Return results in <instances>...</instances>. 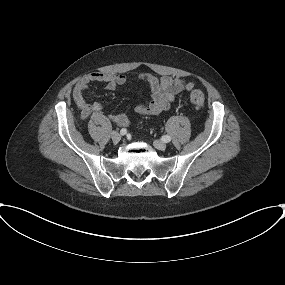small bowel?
<instances>
[{
  "label": "small bowel",
  "mask_w": 285,
  "mask_h": 285,
  "mask_svg": "<svg viewBox=\"0 0 285 285\" xmlns=\"http://www.w3.org/2000/svg\"><path fill=\"white\" fill-rule=\"evenodd\" d=\"M145 82L151 91L150 100L136 106L135 111L141 116H156L168 110L176 99V96L184 92L187 84L182 77L161 76L157 77L150 73H142L137 76L128 77L123 74L94 72L80 79L73 90L74 101L81 111V117L87 119L93 113H100L103 106L100 102H87L85 94L89 91L90 83L104 82L108 90H115L118 86L130 81ZM109 119L119 126H129L130 119L124 113H113Z\"/></svg>",
  "instance_id": "obj_1"
}]
</instances>
